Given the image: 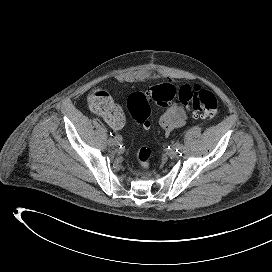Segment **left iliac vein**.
<instances>
[{"instance_id":"left-iliac-vein-1","label":"left iliac vein","mask_w":272,"mask_h":272,"mask_svg":"<svg viewBox=\"0 0 272 272\" xmlns=\"http://www.w3.org/2000/svg\"><path fill=\"white\" fill-rule=\"evenodd\" d=\"M168 155H169L170 157H174V156L177 155V152H176L174 149H171V150L168 152Z\"/></svg>"}]
</instances>
